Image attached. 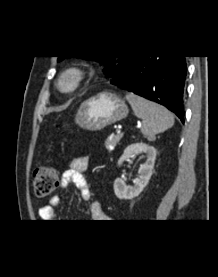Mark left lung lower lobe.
Masks as SVG:
<instances>
[{"label":"left lung lower lobe","mask_w":218,"mask_h":277,"mask_svg":"<svg viewBox=\"0 0 218 277\" xmlns=\"http://www.w3.org/2000/svg\"><path fill=\"white\" fill-rule=\"evenodd\" d=\"M185 56L134 55L111 83L164 105L184 122Z\"/></svg>","instance_id":"1"}]
</instances>
